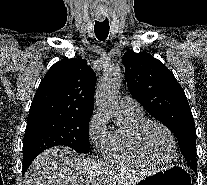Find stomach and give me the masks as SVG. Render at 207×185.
Instances as JSON below:
<instances>
[{
    "label": "stomach",
    "mask_w": 207,
    "mask_h": 185,
    "mask_svg": "<svg viewBox=\"0 0 207 185\" xmlns=\"http://www.w3.org/2000/svg\"><path fill=\"white\" fill-rule=\"evenodd\" d=\"M138 185H191L190 176L181 166H170L141 179Z\"/></svg>",
    "instance_id": "1"
}]
</instances>
